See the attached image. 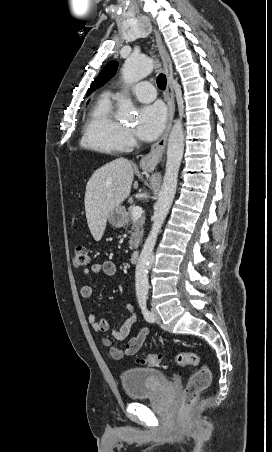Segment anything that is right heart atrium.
Listing matches in <instances>:
<instances>
[{"label":"right heart atrium","mask_w":272,"mask_h":452,"mask_svg":"<svg viewBox=\"0 0 272 452\" xmlns=\"http://www.w3.org/2000/svg\"><path fill=\"white\" fill-rule=\"evenodd\" d=\"M122 139L125 149H130L136 144L134 133L128 128H123Z\"/></svg>","instance_id":"1"}]
</instances>
